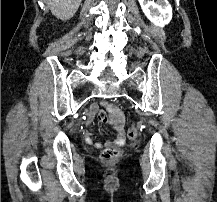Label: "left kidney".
<instances>
[{
  "label": "left kidney",
  "mask_w": 217,
  "mask_h": 202,
  "mask_svg": "<svg viewBox=\"0 0 217 202\" xmlns=\"http://www.w3.org/2000/svg\"><path fill=\"white\" fill-rule=\"evenodd\" d=\"M145 16H147L150 22H153L155 26L164 28L166 24L171 22L172 8L168 0H138Z\"/></svg>",
  "instance_id": "5707ae66"
}]
</instances>
